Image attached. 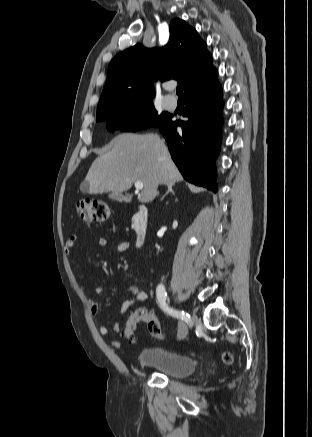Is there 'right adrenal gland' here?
I'll use <instances>...</instances> for the list:
<instances>
[{
	"label": "right adrenal gland",
	"instance_id": "obj_1",
	"mask_svg": "<svg viewBox=\"0 0 312 437\" xmlns=\"http://www.w3.org/2000/svg\"><path fill=\"white\" fill-rule=\"evenodd\" d=\"M168 193H172L173 195L175 194L174 191H173L172 185H169V186H168V190H167V192L162 196L161 200H163V199L165 198V196H166Z\"/></svg>",
	"mask_w": 312,
	"mask_h": 437
}]
</instances>
